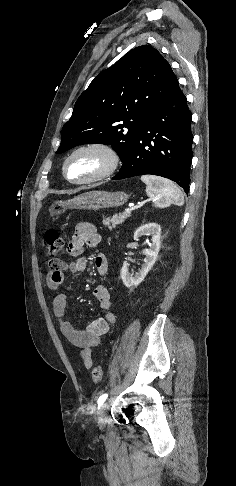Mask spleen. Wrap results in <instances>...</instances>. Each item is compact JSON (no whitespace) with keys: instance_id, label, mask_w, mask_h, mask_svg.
<instances>
[{"instance_id":"3e777b00","label":"spleen","mask_w":236,"mask_h":486,"mask_svg":"<svg viewBox=\"0 0 236 486\" xmlns=\"http://www.w3.org/2000/svg\"><path fill=\"white\" fill-rule=\"evenodd\" d=\"M141 180L146 184V193L155 207L163 208L171 204L178 206L184 204L183 193L172 181L154 175H143Z\"/></svg>"}]
</instances>
